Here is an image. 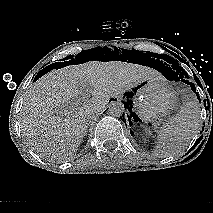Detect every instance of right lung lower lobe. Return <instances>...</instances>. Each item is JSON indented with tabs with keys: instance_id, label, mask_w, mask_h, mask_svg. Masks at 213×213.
<instances>
[{
	"instance_id": "obj_1",
	"label": "right lung lower lobe",
	"mask_w": 213,
	"mask_h": 213,
	"mask_svg": "<svg viewBox=\"0 0 213 213\" xmlns=\"http://www.w3.org/2000/svg\"><path fill=\"white\" fill-rule=\"evenodd\" d=\"M58 65H60V66H64V65H68V64H66V62H64V64L63 63H54V64H52V65H50V66H47L45 69H43L42 71H40L38 74H37V76L35 77V80L36 79H38L40 76H42L43 74H45L46 72H48V71H50V70H52L53 68H58V67H60V66H58Z\"/></svg>"
}]
</instances>
